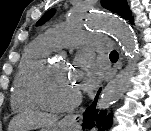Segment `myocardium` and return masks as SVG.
Segmentation results:
<instances>
[{"mask_svg": "<svg viewBox=\"0 0 151 131\" xmlns=\"http://www.w3.org/2000/svg\"><path fill=\"white\" fill-rule=\"evenodd\" d=\"M53 70V63L45 62L36 74L32 83V94L37 104L52 112H65L75 108L81 101V94L77 93L74 97L55 103L49 100L45 93V82Z\"/></svg>", "mask_w": 151, "mask_h": 131, "instance_id": "obj_1", "label": "myocardium"}]
</instances>
